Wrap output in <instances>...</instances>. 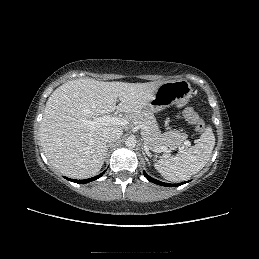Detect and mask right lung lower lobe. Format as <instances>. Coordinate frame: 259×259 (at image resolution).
<instances>
[{"mask_svg": "<svg viewBox=\"0 0 259 259\" xmlns=\"http://www.w3.org/2000/svg\"><path fill=\"white\" fill-rule=\"evenodd\" d=\"M103 174H104V172L99 174L98 176H95V177H92V178H89V179H86V180H73V179H69V178H66V179H68L69 181L78 183V184H84V183H88V182H91V181H94V180L100 178Z\"/></svg>", "mask_w": 259, "mask_h": 259, "instance_id": "obj_1", "label": "right lung lower lobe"}]
</instances>
